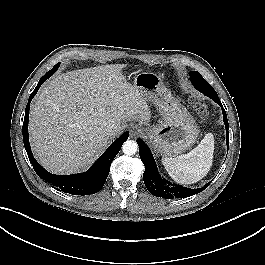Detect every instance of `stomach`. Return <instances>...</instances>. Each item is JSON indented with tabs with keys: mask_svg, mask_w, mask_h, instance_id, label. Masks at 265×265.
Here are the masks:
<instances>
[{
	"mask_svg": "<svg viewBox=\"0 0 265 265\" xmlns=\"http://www.w3.org/2000/svg\"><path fill=\"white\" fill-rule=\"evenodd\" d=\"M146 101L152 102L162 121L146 128L155 151L162 156L181 154L194 145L199 136L196 121L164 85L162 79L151 72H139L133 85Z\"/></svg>",
	"mask_w": 265,
	"mask_h": 265,
	"instance_id": "stomach-1",
	"label": "stomach"
}]
</instances>
